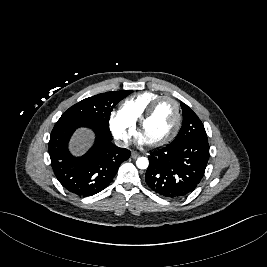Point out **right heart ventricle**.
<instances>
[{
    "label": "right heart ventricle",
    "instance_id": "1",
    "mask_svg": "<svg viewBox=\"0 0 267 267\" xmlns=\"http://www.w3.org/2000/svg\"><path fill=\"white\" fill-rule=\"evenodd\" d=\"M159 97L161 95L154 92H143L131 96L122 102L120 112L135 126L148 106Z\"/></svg>",
    "mask_w": 267,
    "mask_h": 267
}]
</instances>
